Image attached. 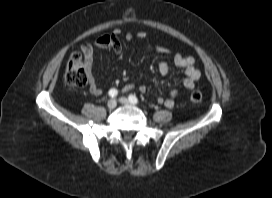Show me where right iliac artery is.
<instances>
[{
  "instance_id": "right-iliac-artery-1",
  "label": "right iliac artery",
  "mask_w": 272,
  "mask_h": 198,
  "mask_svg": "<svg viewBox=\"0 0 272 198\" xmlns=\"http://www.w3.org/2000/svg\"><path fill=\"white\" fill-rule=\"evenodd\" d=\"M118 94V91L116 89H110L109 90V96L110 97H115Z\"/></svg>"
}]
</instances>
